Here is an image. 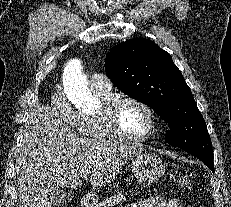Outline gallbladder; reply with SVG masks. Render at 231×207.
Here are the masks:
<instances>
[{"label": "gallbladder", "instance_id": "1", "mask_svg": "<svg viewBox=\"0 0 231 207\" xmlns=\"http://www.w3.org/2000/svg\"><path fill=\"white\" fill-rule=\"evenodd\" d=\"M72 198H73L72 194L64 191H60L52 200V204L56 207H59L67 202H70Z\"/></svg>", "mask_w": 231, "mask_h": 207}]
</instances>
